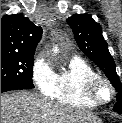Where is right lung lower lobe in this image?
Here are the masks:
<instances>
[{"label": "right lung lower lobe", "instance_id": "98d812e1", "mask_svg": "<svg viewBox=\"0 0 122 123\" xmlns=\"http://www.w3.org/2000/svg\"><path fill=\"white\" fill-rule=\"evenodd\" d=\"M18 89H27V88L21 85H18L16 83H8V82L1 83V93L10 91V90H18Z\"/></svg>", "mask_w": 122, "mask_h": 123}]
</instances>
